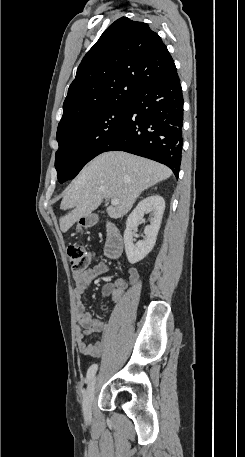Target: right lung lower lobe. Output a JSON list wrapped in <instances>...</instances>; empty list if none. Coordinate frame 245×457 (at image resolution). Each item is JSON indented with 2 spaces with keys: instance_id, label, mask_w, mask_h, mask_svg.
Listing matches in <instances>:
<instances>
[{
  "instance_id": "right-lung-lower-lobe-1",
  "label": "right lung lower lobe",
  "mask_w": 245,
  "mask_h": 457,
  "mask_svg": "<svg viewBox=\"0 0 245 457\" xmlns=\"http://www.w3.org/2000/svg\"><path fill=\"white\" fill-rule=\"evenodd\" d=\"M183 97L176 71L143 86L104 152L122 150L170 167L178 178L182 153Z\"/></svg>"
}]
</instances>
